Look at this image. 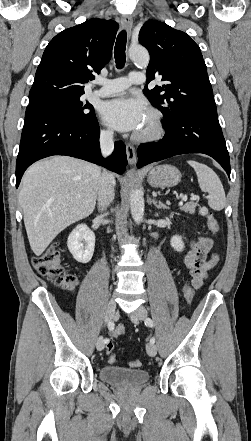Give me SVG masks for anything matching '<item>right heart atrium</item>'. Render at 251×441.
<instances>
[{
	"label": "right heart atrium",
	"mask_w": 251,
	"mask_h": 441,
	"mask_svg": "<svg viewBox=\"0 0 251 441\" xmlns=\"http://www.w3.org/2000/svg\"><path fill=\"white\" fill-rule=\"evenodd\" d=\"M101 133L104 137H109L112 134L111 130L109 129H102Z\"/></svg>",
	"instance_id": "1"
}]
</instances>
